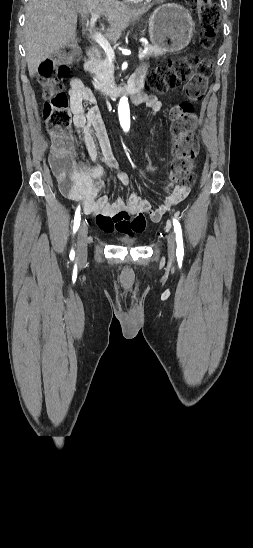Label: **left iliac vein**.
I'll list each match as a JSON object with an SVG mask.
<instances>
[{"label":"left iliac vein","instance_id":"obj_1","mask_svg":"<svg viewBox=\"0 0 253 548\" xmlns=\"http://www.w3.org/2000/svg\"><path fill=\"white\" fill-rule=\"evenodd\" d=\"M167 247H168V255L170 258L175 257V250H176V239L173 232H170L167 236Z\"/></svg>","mask_w":253,"mask_h":548}]
</instances>
